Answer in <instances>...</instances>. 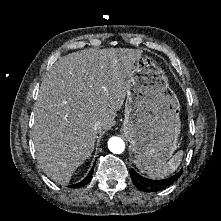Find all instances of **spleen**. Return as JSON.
Returning <instances> with one entry per match:
<instances>
[{"mask_svg": "<svg viewBox=\"0 0 221 221\" xmlns=\"http://www.w3.org/2000/svg\"><path fill=\"white\" fill-rule=\"evenodd\" d=\"M183 157V151H178L166 164L155 169L147 170L146 174L150 178H164L170 173H173L180 165Z\"/></svg>", "mask_w": 221, "mask_h": 221, "instance_id": "obj_1", "label": "spleen"}]
</instances>
